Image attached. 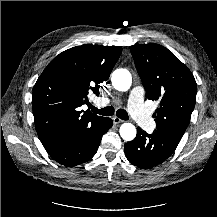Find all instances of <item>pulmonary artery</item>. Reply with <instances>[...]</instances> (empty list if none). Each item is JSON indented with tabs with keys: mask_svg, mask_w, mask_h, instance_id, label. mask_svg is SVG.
Masks as SVG:
<instances>
[{
	"mask_svg": "<svg viewBox=\"0 0 217 217\" xmlns=\"http://www.w3.org/2000/svg\"><path fill=\"white\" fill-rule=\"evenodd\" d=\"M110 100L104 98L103 102L107 104ZM128 107L131 116L135 121L146 130H150L153 127L154 121L147 111V107L144 104V92L140 87L134 88L128 99Z\"/></svg>",
	"mask_w": 217,
	"mask_h": 217,
	"instance_id": "pulmonary-artery-1",
	"label": "pulmonary artery"
}]
</instances>
